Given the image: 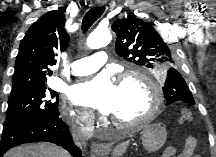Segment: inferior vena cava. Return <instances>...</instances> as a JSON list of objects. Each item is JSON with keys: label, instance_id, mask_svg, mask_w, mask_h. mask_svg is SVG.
Instances as JSON below:
<instances>
[{"label": "inferior vena cava", "instance_id": "obj_1", "mask_svg": "<svg viewBox=\"0 0 216 157\" xmlns=\"http://www.w3.org/2000/svg\"><path fill=\"white\" fill-rule=\"evenodd\" d=\"M89 138L88 134L82 133V132H75L73 134V139L76 143V145L80 148H82V145L86 144V140Z\"/></svg>", "mask_w": 216, "mask_h": 157}]
</instances>
